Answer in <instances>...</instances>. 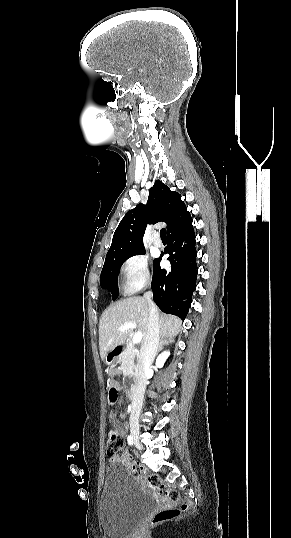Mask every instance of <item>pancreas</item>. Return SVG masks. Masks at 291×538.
<instances>
[{"label": "pancreas", "instance_id": "1", "mask_svg": "<svg viewBox=\"0 0 291 538\" xmlns=\"http://www.w3.org/2000/svg\"><path fill=\"white\" fill-rule=\"evenodd\" d=\"M134 356V350L130 345H127V348L125 349L124 353L120 356L121 368L123 370H128L131 368Z\"/></svg>", "mask_w": 291, "mask_h": 538}]
</instances>
